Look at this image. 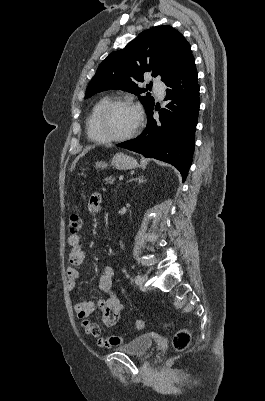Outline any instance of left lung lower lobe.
I'll return each instance as SVG.
<instances>
[{
	"label": "left lung lower lobe",
	"instance_id": "obj_1",
	"mask_svg": "<svg viewBox=\"0 0 265 401\" xmlns=\"http://www.w3.org/2000/svg\"><path fill=\"white\" fill-rule=\"evenodd\" d=\"M165 84L169 87L165 100L170 102L159 111V119L153 118V106L146 111L147 126L142 134L117 146L174 165L185 181L192 162L200 106L193 55Z\"/></svg>",
	"mask_w": 265,
	"mask_h": 401
}]
</instances>
